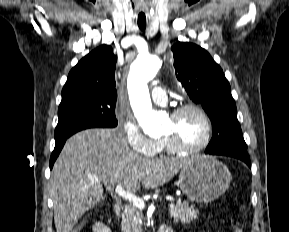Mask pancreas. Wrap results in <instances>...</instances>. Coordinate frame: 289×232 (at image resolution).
<instances>
[{"mask_svg":"<svg viewBox=\"0 0 289 232\" xmlns=\"http://www.w3.org/2000/svg\"><path fill=\"white\" fill-rule=\"evenodd\" d=\"M169 212L175 223H190L197 218L198 210L189 206L187 202L178 200L175 204L171 203ZM121 227L122 232H142V212L133 204L125 207L122 213Z\"/></svg>","mask_w":289,"mask_h":232,"instance_id":"obj_1","label":"pancreas"}]
</instances>
